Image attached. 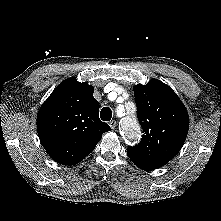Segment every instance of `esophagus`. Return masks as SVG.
Masks as SVG:
<instances>
[{"label": "esophagus", "mask_w": 221, "mask_h": 221, "mask_svg": "<svg viewBox=\"0 0 221 221\" xmlns=\"http://www.w3.org/2000/svg\"><path fill=\"white\" fill-rule=\"evenodd\" d=\"M109 126L111 127L112 130H114L115 127H116V121H115V120H111V121L109 122Z\"/></svg>", "instance_id": "obj_1"}]
</instances>
